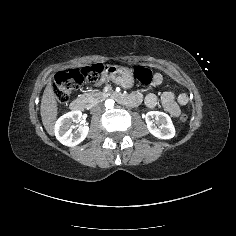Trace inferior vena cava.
Wrapping results in <instances>:
<instances>
[{"instance_id":"602c4592","label":"inferior vena cava","mask_w":236,"mask_h":236,"mask_svg":"<svg viewBox=\"0 0 236 236\" xmlns=\"http://www.w3.org/2000/svg\"><path fill=\"white\" fill-rule=\"evenodd\" d=\"M91 111L93 113H102V112H104V106H103V104H96L92 107Z\"/></svg>"}]
</instances>
